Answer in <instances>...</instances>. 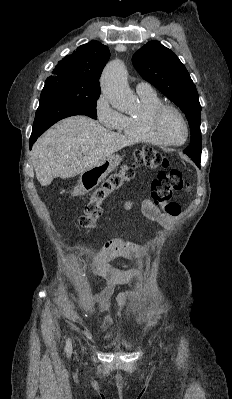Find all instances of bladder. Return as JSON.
Returning <instances> with one entry per match:
<instances>
[{"instance_id":"31cf9c89","label":"bladder","mask_w":232,"mask_h":399,"mask_svg":"<svg viewBox=\"0 0 232 399\" xmlns=\"http://www.w3.org/2000/svg\"><path fill=\"white\" fill-rule=\"evenodd\" d=\"M106 348L109 350H129L130 346L123 343H111Z\"/></svg>"}]
</instances>
